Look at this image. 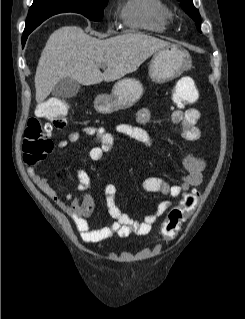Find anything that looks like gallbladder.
Instances as JSON below:
<instances>
[{
    "instance_id": "bac80fb5",
    "label": "gallbladder",
    "mask_w": 245,
    "mask_h": 319,
    "mask_svg": "<svg viewBox=\"0 0 245 319\" xmlns=\"http://www.w3.org/2000/svg\"><path fill=\"white\" fill-rule=\"evenodd\" d=\"M80 90V84L71 78L61 79L54 87L52 94L58 98H72Z\"/></svg>"
}]
</instances>
